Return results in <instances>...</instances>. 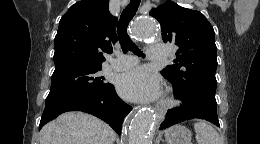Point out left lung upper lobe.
<instances>
[{
    "label": "left lung upper lobe",
    "instance_id": "obj_1",
    "mask_svg": "<svg viewBox=\"0 0 260 144\" xmlns=\"http://www.w3.org/2000/svg\"><path fill=\"white\" fill-rule=\"evenodd\" d=\"M162 29L163 41L178 47L175 63L161 74L173 84L174 95L188 101L191 95L215 100L217 47L212 25L195 10L166 1L150 11Z\"/></svg>",
    "mask_w": 260,
    "mask_h": 144
}]
</instances>
